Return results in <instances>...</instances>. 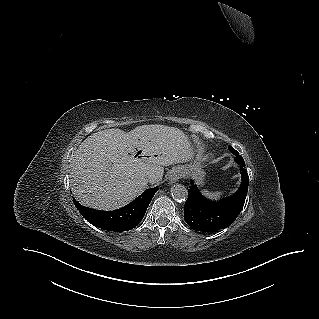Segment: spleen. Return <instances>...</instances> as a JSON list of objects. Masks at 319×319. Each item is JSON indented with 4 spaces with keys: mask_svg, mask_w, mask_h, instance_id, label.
Wrapping results in <instances>:
<instances>
[{
    "mask_svg": "<svg viewBox=\"0 0 319 319\" xmlns=\"http://www.w3.org/2000/svg\"><path fill=\"white\" fill-rule=\"evenodd\" d=\"M202 193H203L206 197H208L209 199H212V200H218V199L222 196V194H223L222 191L209 192V191H207V190H203Z\"/></svg>",
    "mask_w": 319,
    "mask_h": 319,
    "instance_id": "1",
    "label": "spleen"
}]
</instances>
